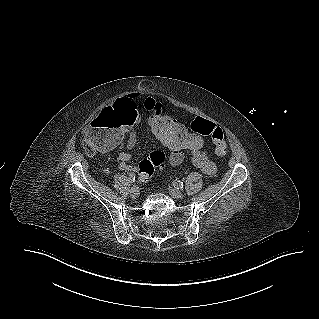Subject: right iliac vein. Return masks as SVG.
<instances>
[{"instance_id": "63e3f726", "label": "right iliac vein", "mask_w": 319, "mask_h": 319, "mask_svg": "<svg viewBox=\"0 0 319 319\" xmlns=\"http://www.w3.org/2000/svg\"><path fill=\"white\" fill-rule=\"evenodd\" d=\"M140 194L139 188L137 186H133L130 190V196L132 198H137Z\"/></svg>"}]
</instances>
